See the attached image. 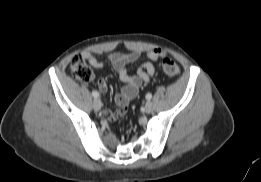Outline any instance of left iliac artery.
<instances>
[{
  "label": "left iliac artery",
  "mask_w": 261,
  "mask_h": 182,
  "mask_svg": "<svg viewBox=\"0 0 261 182\" xmlns=\"http://www.w3.org/2000/svg\"><path fill=\"white\" fill-rule=\"evenodd\" d=\"M151 98H152V94L151 93L146 94V99L150 100Z\"/></svg>",
  "instance_id": "1"
}]
</instances>
